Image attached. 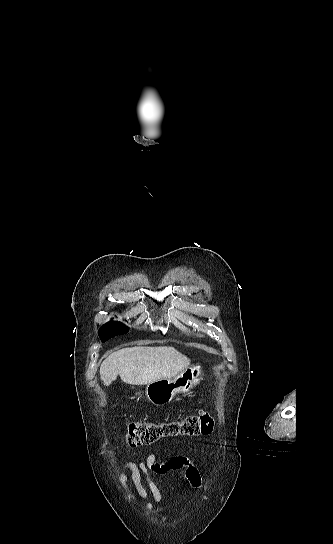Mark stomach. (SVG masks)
<instances>
[{"mask_svg": "<svg viewBox=\"0 0 333 544\" xmlns=\"http://www.w3.org/2000/svg\"><path fill=\"white\" fill-rule=\"evenodd\" d=\"M203 379L201 364L188 366L174 378H163L147 384L145 395L156 406L169 403L176 394L187 393ZM141 396V393H137Z\"/></svg>", "mask_w": 333, "mask_h": 544, "instance_id": "0dacf381", "label": "stomach"}]
</instances>
